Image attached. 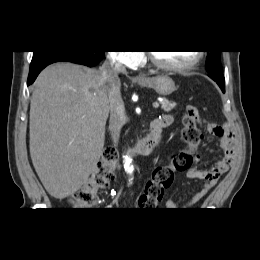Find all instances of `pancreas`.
Listing matches in <instances>:
<instances>
[{
    "mask_svg": "<svg viewBox=\"0 0 260 260\" xmlns=\"http://www.w3.org/2000/svg\"><path fill=\"white\" fill-rule=\"evenodd\" d=\"M161 108L165 111V112H170L172 111L175 107H176V103L174 102H170L167 99H163L161 102Z\"/></svg>",
    "mask_w": 260,
    "mask_h": 260,
    "instance_id": "cf45deb5",
    "label": "pancreas"
}]
</instances>
